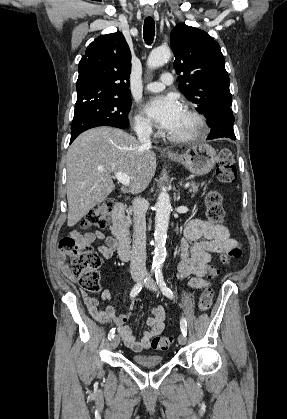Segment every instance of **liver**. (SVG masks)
Returning <instances> with one entry per match:
<instances>
[{
  "mask_svg": "<svg viewBox=\"0 0 287 419\" xmlns=\"http://www.w3.org/2000/svg\"><path fill=\"white\" fill-rule=\"evenodd\" d=\"M66 168L67 224L72 227L114 190L111 173L127 174L131 192L145 190L156 171V155L124 130L96 127L70 145Z\"/></svg>",
  "mask_w": 287,
  "mask_h": 419,
  "instance_id": "obj_1",
  "label": "liver"
}]
</instances>
